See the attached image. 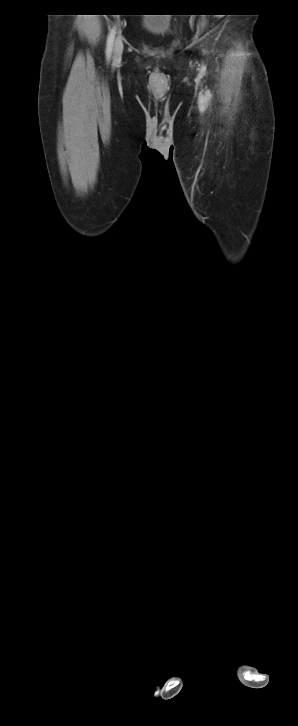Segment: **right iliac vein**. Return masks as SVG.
<instances>
[{"label":"right iliac vein","instance_id":"1","mask_svg":"<svg viewBox=\"0 0 298 726\" xmlns=\"http://www.w3.org/2000/svg\"><path fill=\"white\" fill-rule=\"evenodd\" d=\"M122 50H123L122 40L120 38H117L116 41H115V43H114V51H113V58H114V60L117 61V60L120 59L121 54H122Z\"/></svg>","mask_w":298,"mask_h":726}]
</instances>
